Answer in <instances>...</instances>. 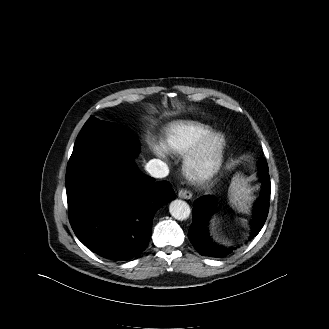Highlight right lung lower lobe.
<instances>
[{"label": "right lung lower lobe", "instance_id": "obj_1", "mask_svg": "<svg viewBox=\"0 0 329 329\" xmlns=\"http://www.w3.org/2000/svg\"><path fill=\"white\" fill-rule=\"evenodd\" d=\"M133 158L105 150L67 168L72 229L85 246L110 260L141 253L149 243L154 214L175 198L169 182L144 175Z\"/></svg>", "mask_w": 329, "mask_h": 329}]
</instances>
